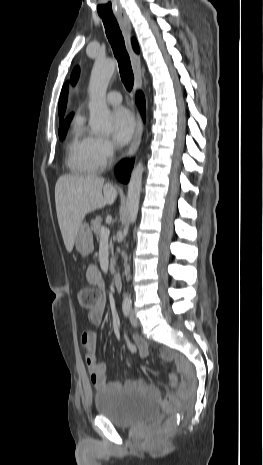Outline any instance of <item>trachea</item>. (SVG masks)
<instances>
[{"label": "trachea", "instance_id": "trachea-1", "mask_svg": "<svg viewBox=\"0 0 263 465\" xmlns=\"http://www.w3.org/2000/svg\"><path fill=\"white\" fill-rule=\"evenodd\" d=\"M101 19L113 53L118 61L121 80L126 89L131 91L134 84V74L118 22L114 16H101Z\"/></svg>", "mask_w": 263, "mask_h": 465}]
</instances>
